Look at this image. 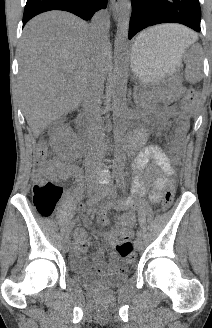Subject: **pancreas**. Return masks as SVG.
<instances>
[{
    "mask_svg": "<svg viewBox=\"0 0 212 328\" xmlns=\"http://www.w3.org/2000/svg\"><path fill=\"white\" fill-rule=\"evenodd\" d=\"M155 96L153 94H144L138 98V106L139 107H148L151 106L155 102Z\"/></svg>",
    "mask_w": 212,
    "mask_h": 328,
    "instance_id": "1",
    "label": "pancreas"
}]
</instances>
